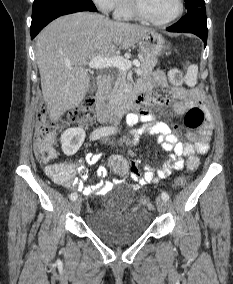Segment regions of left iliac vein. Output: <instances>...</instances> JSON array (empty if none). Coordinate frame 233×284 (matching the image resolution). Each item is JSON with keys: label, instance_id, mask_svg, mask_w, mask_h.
Returning <instances> with one entry per match:
<instances>
[{"label": "left iliac vein", "instance_id": "1", "mask_svg": "<svg viewBox=\"0 0 233 284\" xmlns=\"http://www.w3.org/2000/svg\"><path fill=\"white\" fill-rule=\"evenodd\" d=\"M166 206H167V203L165 200H163L162 198L158 197L156 198V207H157V210L162 213L166 210Z\"/></svg>", "mask_w": 233, "mask_h": 284}]
</instances>
